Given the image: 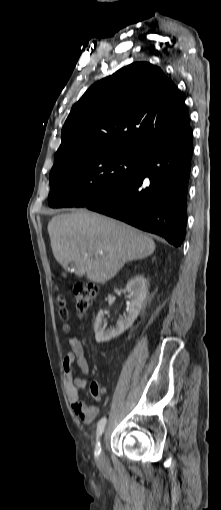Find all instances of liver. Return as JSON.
I'll use <instances>...</instances> for the list:
<instances>
[{
	"label": "liver",
	"instance_id": "1",
	"mask_svg": "<svg viewBox=\"0 0 221 510\" xmlns=\"http://www.w3.org/2000/svg\"><path fill=\"white\" fill-rule=\"evenodd\" d=\"M48 233L57 262L65 270L74 264L78 277L96 283L109 281L125 263L155 251L153 239L138 229L86 210L54 216Z\"/></svg>",
	"mask_w": 221,
	"mask_h": 510
}]
</instances>
